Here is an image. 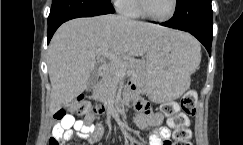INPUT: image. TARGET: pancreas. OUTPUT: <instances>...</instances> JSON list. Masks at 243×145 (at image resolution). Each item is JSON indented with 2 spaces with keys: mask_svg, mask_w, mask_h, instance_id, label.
<instances>
[{
  "mask_svg": "<svg viewBox=\"0 0 243 145\" xmlns=\"http://www.w3.org/2000/svg\"><path fill=\"white\" fill-rule=\"evenodd\" d=\"M122 62L125 65L126 69H131L130 73L133 77L140 81L144 80L146 71L143 62L126 60H122ZM122 74L123 73L119 69L118 65H116L114 62L107 65L104 69L102 79L96 87L97 96L104 98L111 92L116 90Z\"/></svg>",
  "mask_w": 243,
  "mask_h": 145,
  "instance_id": "1",
  "label": "pancreas"
}]
</instances>
